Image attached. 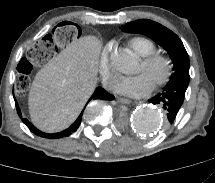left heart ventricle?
<instances>
[{
  "label": "left heart ventricle",
  "mask_w": 215,
  "mask_h": 183,
  "mask_svg": "<svg viewBox=\"0 0 215 183\" xmlns=\"http://www.w3.org/2000/svg\"><path fill=\"white\" fill-rule=\"evenodd\" d=\"M163 72H164V68L160 64L147 68L143 65L142 62H140L139 67L137 69V73H145L149 77L152 83H154L156 79L161 77Z\"/></svg>",
  "instance_id": "left-heart-ventricle-1"
}]
</instances>
